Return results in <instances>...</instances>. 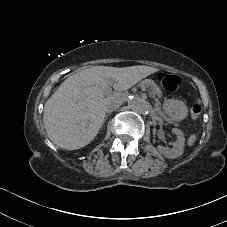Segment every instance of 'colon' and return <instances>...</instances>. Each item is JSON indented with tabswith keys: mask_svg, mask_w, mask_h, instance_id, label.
<instances>
[{
	"mask_svg": "<svg viewBox=\"0 0 227 227\" xmlns=\"http://www.w3.org/2000/svg\"><path fill=\"white\" fill-rule=\"evenodd\" d=\"M157 80L160 85L168 92H175L180 83L181 78L174 74H169L166 72H159L157 75ZM202 114V107L200 104H194L190 108V117L193 120L199 119Z\"/></svg>",
	"mask_w": 227,
	"mask_h": 227,
	"instance_id": "obj_1",
	"label": "colon"
}]
</instances>
